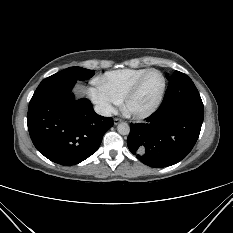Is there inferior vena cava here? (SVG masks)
Wrapping results in <instances>:
<instances>
[{"label": "inferior vena cava", "instance_id": "1", "mask_svg": "<svg viewBox=\"0 0 233 233\" xmlns=\"http://www.w3.org/2000/svg\"><path fill=\"white\" fill-rule=\"evenodd\" d=\"M94 110L97 114L102 116L110 117L112 115L111 109L108 107L97 105Z\"/></svg>", "mask_w": 233, "mask_h": 233}]
</instances>
